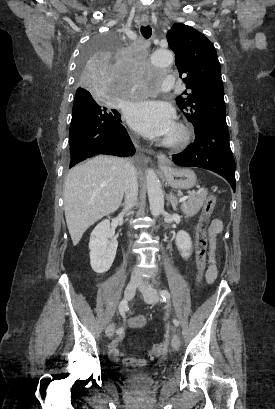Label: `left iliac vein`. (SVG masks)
I'll return each mask as SVG.
<instances>
[{
    "label": "left iliac vein",
    "instance_id": "4c4485c4",
    "mask_svg": "<svg viewBox=\"0 0 275 409\" xmlns=\"http://www.w3.org/2000/svg\"><path fill=\"white\" fill-rule=\"evenodd\" d=\"M141 292L145 301L149 304H156L160 301V296L153 288H149L147 284H141ZM171 346L174 350H179L180 340L176 328H172Z\"/></svg>",
    "mask_w": 275,
    "mask_h": 409
}]
</instances>
